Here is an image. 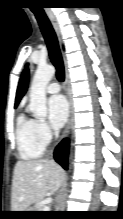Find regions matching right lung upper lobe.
I'll use <instances>...</instances> for the list:
<instances>
[{
	"instance_id": "obj_1",
	"label": "right lung upper lobe",
	"mask_w": 123,
	"mask_h": 219,
	"mask_svg": "<svg viewBox=\"0 0 123 219\" xmlns=\"http://www.w3.org/2000/svg\"><path fill=\"white\" fill-rule=\"evenodd\" d=\"M28 80H29V72L26 70L23 73V76L21 77L17 93H16V100H15V107L19 104L21 98L24 96L26 90H27V85H28Z\"/></svg>"
}]
</instances>
